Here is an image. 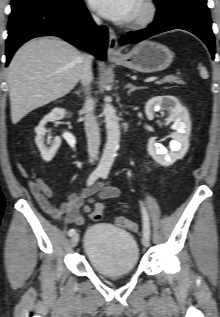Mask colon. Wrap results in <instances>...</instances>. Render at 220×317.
<instances>
[{"label":"colon","instance_id":"5ec220e1","mask_svg":"<svg viewBox=\"0 0 220 317\" xmlns=\"http://www.w3.org/2000/svg\"><path fill=\"white\" fill-rule=\"evenodd\" d=\"M102 214H103V206H98L92 211L91 218L94 221H99L102 218ZM115 222L118 226L130 229V230H135L137 228L136 224L132 220L124 216L116 217Z\"/></svg>","mask_w":220,"mask_h":317}]
</instances>
